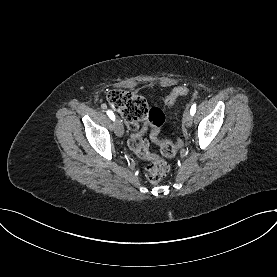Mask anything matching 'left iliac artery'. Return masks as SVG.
<instances>
[{"label":"left iliac artery","mask_w":277,"mask_h":277,"mask_svg":"<svg viewBox=\"0 0 277 277\" xmlns=\"http://www.w3.org/2000/svg\"><path fill=\"white\" fill-rule=\"evenodd\" d=\"M195 112H196V104H193V105L191 106L190 113H191V115L193 116V115L195 114Z\"/></svg>","instance_id":"left-iliac-artery-1"}]
</instances>
